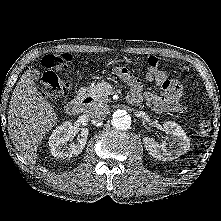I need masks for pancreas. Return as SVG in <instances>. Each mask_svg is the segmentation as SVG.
<instances>
[{
  "label": "pancreas",
  "instance_id": "1",
  "mask_svg": "<svg viewBox=\"0 0 221 221\" xmlns=\"http://www.w3.org/2000/svg\"><path fill=\"white\" fill-rule=\"evenodd\" d=\"M87 95L93 98L95 102H109V95L113 94V88L107 82H101L86 90Z\"/></svg>",
  "mask_w": 221,
  "mask_h": 221
}]
</instances>
